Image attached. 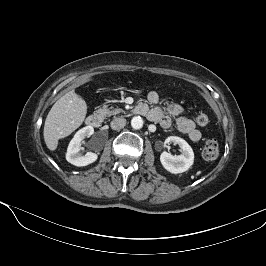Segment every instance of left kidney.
<instances>
[{
  "label": "left kidney",
  "instance_id": "obj_1",
  "mask_svg": "<svg viewBox=\"0 0 266 266\" xmlns=\"http://www.w3.org/2000/svg\"><path fill=\"white\" fill-rule=\"evenodd\" d=\"M173 143L180 147L181 154L174 156L164 151L160 156L162 166L172 174H179L187 171L194 162V152L191 146L182 138L170 136L165 140L166 144Z\"/></svg>",
  "mask_w": 266,
  "mask_h": 266
}]
</instances>
